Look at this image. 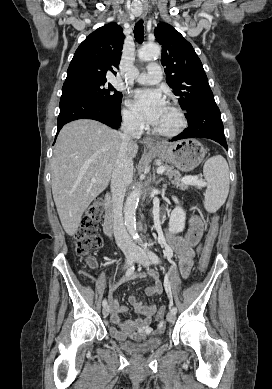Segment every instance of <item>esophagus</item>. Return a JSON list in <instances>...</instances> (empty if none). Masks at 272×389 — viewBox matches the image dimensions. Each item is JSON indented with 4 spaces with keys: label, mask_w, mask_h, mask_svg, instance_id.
Listing matches in <instances>:
<instances>
[{
    "label": "esophagus",
    "mask_w": 272,
    "mask_h": 389,
    "mask_svg": "<svg viewBox=\"0 0 272 389\" xmlns=\"http://www.w3.org/2000/svg\"><path fill=\"white\" fill-rule=\"evenodd\" d=\"M146 13H147V8L143 7L140 14L142 16H145ZM143 143H144V146L146 148H155L156 147V143H155V141L151 137H145L143 139Z\"/></svg>",
    "instance_id": "esophagus-1"
}]
</instances>
